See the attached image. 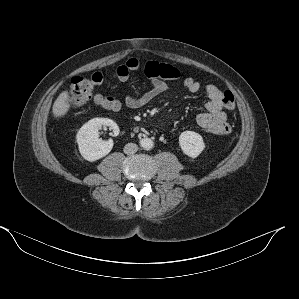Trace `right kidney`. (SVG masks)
I'll return each mask as SVG.
<instances>
[{"instance_id":"right-kidney-1","label":"right kidney","mask_w":299,"mask_h":299,"mask_svg":"<svg viewBox=\"0 0 299 299\" xmlns=\"http://www.w3.org/2000/svg\"><path fill=\"white\" fill-rule=\"evenodd\" d=\"M107 126L113 130V135L119 134L118 125L108 118H93L84 124L77 133L76 141L78 143L81 156L90 162L105 157L112 150L113 140L107 141L99 138L98 130Z\"/></svg>"}]
</instances>
